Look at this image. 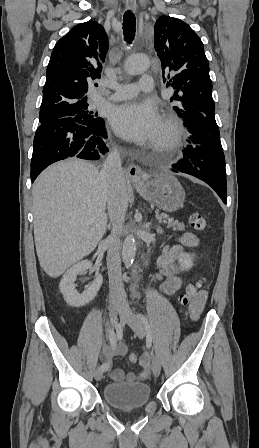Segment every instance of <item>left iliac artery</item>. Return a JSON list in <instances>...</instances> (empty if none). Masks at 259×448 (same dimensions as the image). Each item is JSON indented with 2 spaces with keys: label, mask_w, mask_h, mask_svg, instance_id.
<instances>
[{
  "label": "left iliac artery",
  "mask_w": 259,
  "mask_h": 448,
  "mask_svg": "<svg viewBox=\"0 0 259 448\" xmlns=\"http://www.w3.org/2000/svg\"><path fill=\"white\" fill-rule=\"evenodd\" d=\"M139 316H140L141 320L143 321V323H144L145 325H147L148 322H147V319L145 318V316L142 315V314H139Z\"/></svg>",
  "instance_id": "left-iliac-artery-1"
}]
</instances>
